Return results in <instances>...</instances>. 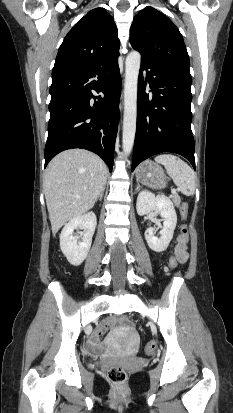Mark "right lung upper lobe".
<instances>
[{
    "label": "right lung upper lobe",
    "mask_w": 233,
    "mask_h": 413,
    "mask_svg": "<svg viewBox=\"0 0 233 413\" xmlns=\"http://www.w3.org/2000/svg\"><path fill=\"white\" fill-rule=\"evenodd\" d=\"M119 47L113 17L104 8L93 9L64 38L52 76L118 56Z\"/></svg>",
    "instance_id": "obj_1"
}]
</instances>
